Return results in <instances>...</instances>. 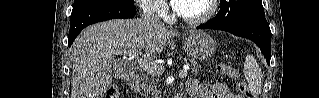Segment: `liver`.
<instances>
[{"label": "liver", "instance_id": "obj_1", "mask_svg": "<svg viewBox=\"0 0 319 98\" xmlns=\"http://www.w3.org/2000/svg\"><path fill=\"white\" fill-rule=\"evenodd\" d=\"M176 34L141 18L116 19L87 27L72 45L71 98H102L116 73L117 52L144 48L148 56L155 57Z\"/></svg>", "mask_w": 319, "mask_h": 98}]
</instances>
